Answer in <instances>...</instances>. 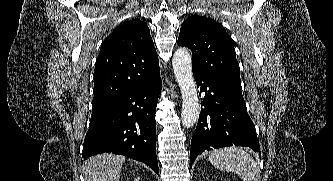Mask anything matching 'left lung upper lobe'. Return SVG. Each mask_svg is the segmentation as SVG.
Segmentation results:
<instances>
[{
	"label": "left lung upper lobe",
	"mask_w": 333,
	"mask_h": 181,
	"mask_svg": "<svg viewBox=\"0 0 333 181\" xmlns=\"http://www.w3.org/2000/svg\"><path fill=\"white\" fill-rule=\"evenodd\" d=\"M178 45L191 49L193 72L220 81L243 97L235 49L219 23L205 16H190L181 25Z\"/></svg>",
	"instance_id": "left-lung-upper-lobe-1"
}]
</instances>
